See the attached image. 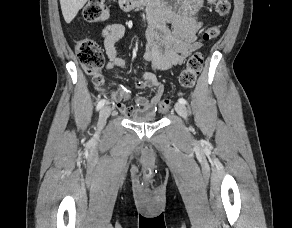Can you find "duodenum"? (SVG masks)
Masks as SVG:
<instances>
[{
    "label": "duodenum",
    "instance_id": "duodenum-1",
    "mask_svg": "<svg viewBox=\"0 0 292 228\" xmlns=\"http://www.w3.org/2000/svg\"><path fill=\"white\" fill-rule=\"evenodd\" d=\"M119 5L124 11H131L136 8L153 7L159 0H118Z\"/></svg>",
    "mask_w": 292,
    "mask_h": 228
}]
</instances>
